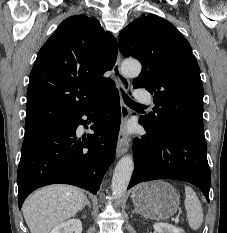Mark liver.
<instances>
[{
    "label": "liver",
    "instance_id": "1",
    "mask_svg": "<svg viewBox=\"0 0 227 233\" xmlns=\"http://www.w3.org/2000/svg\"><path fill=\"white\" fill-rule=\"evenodd\" d=\"M86 196L74 186L56 184L41 188L24 202L22 211L31 233H49L52 228L74 217Z\"/></svg>",
    "mask_w": 227,
    "mask_h": 233
}]
</instances>
